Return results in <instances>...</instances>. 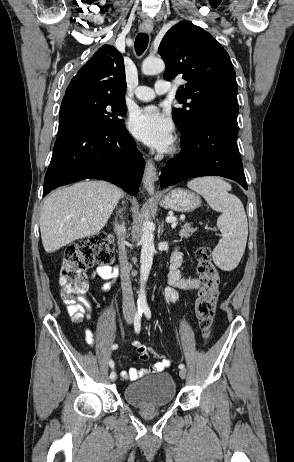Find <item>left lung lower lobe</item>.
Wrapping results in <instances>:
<instances>
[{
  "label": "left lung lower lobe",
  "instance_id": "0a47b994",
  "mask_svg": "<svg viewBox=\"0 0 294 462\" xmlns=\"http://www.w3.org/2000/svg\"><path fill=\"white\" fill-rule=\"evenodd\" d=\"M238 107L211 110L192 131L182 136V154L168 161L160 176L161 187L199 176H222L248 189L239 155Z\"/></svg>",
  "mask_w": 294,
  "mask_h": 462
}]
</instances>
